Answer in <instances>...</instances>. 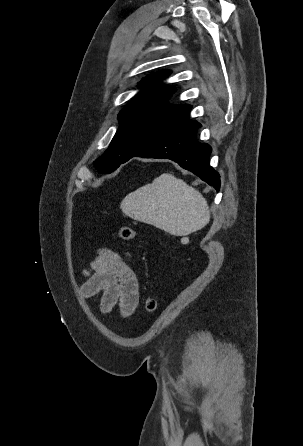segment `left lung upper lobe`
Instances as JSON below:
<instances>
[{
	"mask_svg": "<svg viewBox=\"0 0 303 446\" xmlns=\"http://www.w3.org/2000/svg\"><path fill=\"white\" fill-rule=\"evenodd\" d=\"M169 74L154 73L140 83L145 88L121 110L120 127L108 149L95 161L99 172L114 171L123 159L172 134L187 121L191 106L167 103L176 89L156 85Z\"/></svg>",
	"mask_w": 303,
	"mask_h": 446,
	"instance_id": "obj_1",
	"label": "left lung upper lobe"
}]
</instances>
